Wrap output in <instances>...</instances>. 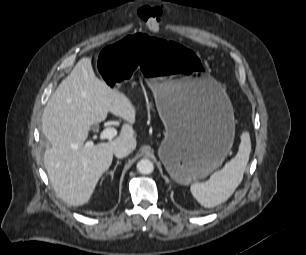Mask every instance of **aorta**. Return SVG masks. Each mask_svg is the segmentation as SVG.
Segmentation results:
<instances>
[{"label":"aorta","mask_w":306,"mask_h":255,"mask_svg":"<svg viewBox=\"0 0 306 255\" xmlns=\"http://www.w3.org/2000/svg\"><path fill=\"white\" fill-rule=\"evenodd\" d=\"M137 170L139 173L147 175L153 172L154 165L149 159H141L137 163Z\"/></svg>","instance_id":"1"}]
</instances>
